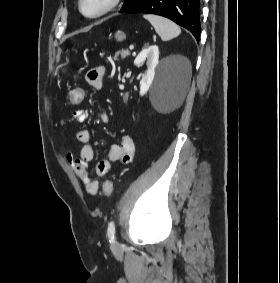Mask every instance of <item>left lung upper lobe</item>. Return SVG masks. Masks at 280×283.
Wrapping results in <instances>:
<instances>
[{"instance_id": "left-lung-upper-lobe-1", "label": "left lung upper lobe", "mask_w": 280, "mask_h": 283, "mask_svg": "<svg viewBox=\"0 0 280 283\" xmlns=\"http://www.w3.org/2000/svg\"><path fill=\"white\" fill-rule=\"evenodd\" d=\"M137 0H125L124 5L121 9V11L126 10L127 8H129L132 4H134Z\"/></svg>"}]
</instances>
